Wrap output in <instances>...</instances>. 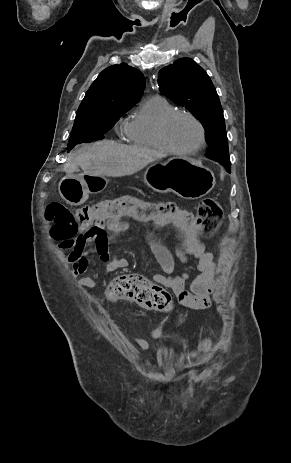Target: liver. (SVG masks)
<instances>
[{
  "label": "liver",
  "instance_id": "obj_1",
  "mask_svg": "<svg viewBox=\"0 0 291 463\" xmlns=\"http://www.w3.org/2000/svg\"><path fill=\"white\" fill-rule=\"evenodd\" d=\"M165 154L156 150L117 144L103 140L83 146L65 165L68 176L80 167L85 174L98 177H121L140 171Z\"/></svg>",
  "mask_w": 291,
  "mask_h": 463
}]
</instances>
